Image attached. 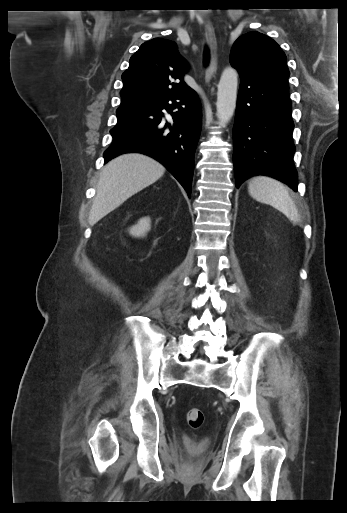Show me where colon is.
<instances>
[{"mask_svg":"<svg viewBox=\"0 0 347 513\" xmlns=\"http://www.w3.org/2000/svg\"><path fill=\"white\" fill-rule=\"evenodd\" d=\"M187 422L192 428H200L204 424V414L200 409L192 408L187 412Z\"/></svg>","mask_w":347,"mask_h":513,"instance_id":"1","label":"colon"}]
</instances>
